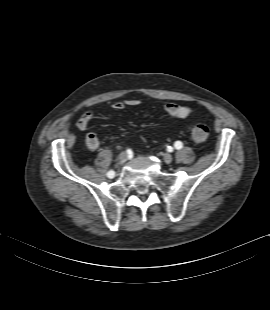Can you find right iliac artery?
I'll list each match as a JSON object with an SVG mask.
<instances>
[{
	"label": "right iliac artery",
	"instance_id": "right-iliac-artery-1",
	"mask_svg": "<svg viewBox=\"0 0 270 310\" xmlns=\"http://www.w3.org/2000/svg\"><path fill=\"white\" fill-rule=\"evenodd\" d=\"M107 176L109 177V178H113L114 176H115V172L114 171H109L108 173H107Z\"/></svg>",
	"mask_w": 270,
	"mask_h": 310
}]
</instances>
